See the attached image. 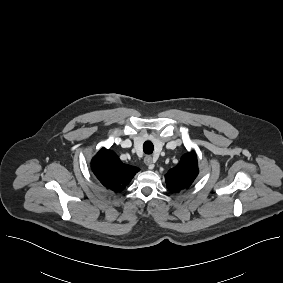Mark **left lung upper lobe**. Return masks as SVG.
<instances>
[{
    "mask_svg": "<svg viewBox=\"0 0 283 283\" xmlns=\"http://www.w3.org/2000/svg\"><path fill=\"white\" fill-rule=\"evenodd\" d=\"M197 175V157L191 152L184 155L180 163L165 175L167 188L172 192L188 188Z\"/></svg>",
    "mask_w": 283,
    "mask_h": 283,
    "instance_id": "1",
    "label": "left lung upper lobe"
}]
</instances>
